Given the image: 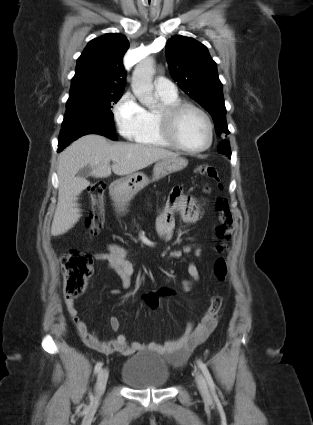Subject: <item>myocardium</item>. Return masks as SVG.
<instances>
[{
    "label": "myocardium",
    "mask_w": 313,
    "mask_h": 425,
    "mask_svg": "<svg viewBox=\"0 0 313 425\" xmlns=\"http://www.w3.org/2000/svg\"><path fill=\"white\" fill-rule=\"evenodd\" d=\"M197 112L200 114L208 128V140L206 144L200 148L192 149L185 146L179 139L177 134L178 124L180 119L187 112ZM158 124L161 136L167 141L172 147L183 151L188 154H198L208 150L214 140V126L213 122L208 113L202 108L191 104V103H177L173 105L164 106L160 112H158Z\"/></svg>",
    "instance_id": "1"
}]
</instances>
